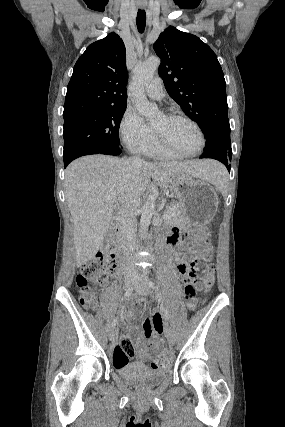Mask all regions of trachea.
<instances>
[{
	"mask_svg": "<svg viewBox=\"0 0 285 427\" xmlns=\"http://www.w3.org/2000/svg\"><path fill=\"white\" fill-rule=\"evenodd\" d=\"M136 22L139 33H143L146 25V13L144 10H138Z\"/></svg>",
	"mask_w": 285,
	"mask_h": 427,
	"instance_id": "3493384b",
	"label": "trachea"
}]
</instances>
